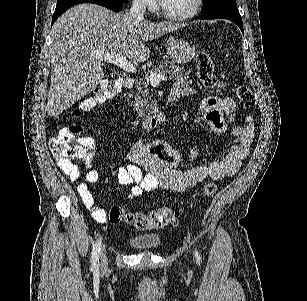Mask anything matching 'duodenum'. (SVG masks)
<instances>
[{"label":"duodenum","instance_id":"410a0bca","mask_svg":"<svg viewBox=\"0 0 307 301\" xmlns=\"http://www.w3.org/2000/svg\"><path fill=\"white\" fill-rule=\"evenodd\" d=\"M134 80L130 77H127L123 80V84L125 86V88L127 89H131L134 86ZM163 114H158L156 116H153L149 119H147L146 121L143 122V125L146 128H152L155 127L156 125H158L159 123H161L163 121Z\"/></svg>","mask_w":307,"mask_h":301}]
</instances>
